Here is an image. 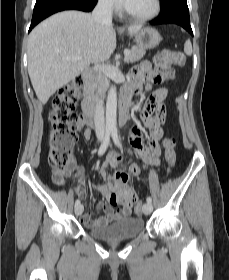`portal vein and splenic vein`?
Here are the masks:
<instances>
[{
    "label": "portal vein and splenic vein",
    "instance_id": "1",
    "mask_svg": "<svg viewBox=\"0 0 229 280\" xmlns=\"http://www.w3.org/2000/svg\"><path fill=\"white\" fill-rule=\"evenodd\" d=\"M129 54H130V50L126 49V50L124 51L125 59L129 56ZM64 59L70 60V61H72V62H76V61H78V60L80 59V57L71 56V57H65Z\"/></svg>",
    "mask_w": 229,
    "mask_h": 280
}]
</instances>
